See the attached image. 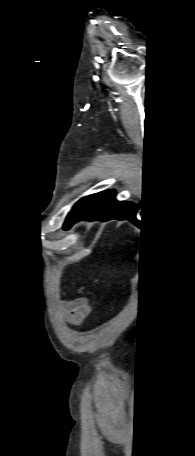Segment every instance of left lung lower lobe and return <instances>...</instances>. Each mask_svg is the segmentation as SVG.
Segmentation results:
<instances>
[{"instance_id": "left-lung-lower-lobe-1", "label": "left lung lower lobe", "mask_w": 195, "mask_h": 456, "mask_svg": "<svg viewBox=\"0 0 195 456\" xmlns=\"http://www.w3.org/2000/svg\"><path fill=\"white\" fill-rule=\"evenodd\" d=\"M136 207L130 202H120L115 199L114 191H104L96 194L78 212L68 218L64 224L65 229L71 227L79 220L135 219Z\"/></svg>"}]
</instances>
